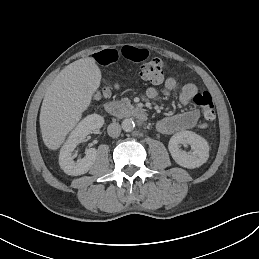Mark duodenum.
Segmentation results:
<instances>
[{"instance_id": "410a0bca", "label": "duodenum", "mask_w": 259, "mask_h": 259, "mask_svg": "<svg viewBox=\"0 0 259 259\" xmlns=\"http://www.w3.org/2000/svg\"><path fill=\"white\" fill-rule=\"evenodd\" d=\"M103 107L107 113L119 118H133L138 122H145L147 120V114L137 108L126 106L116 101H106L103 103Z\"/></svg>"}]
</instances>
